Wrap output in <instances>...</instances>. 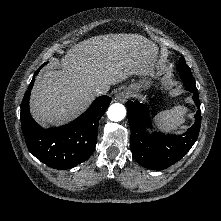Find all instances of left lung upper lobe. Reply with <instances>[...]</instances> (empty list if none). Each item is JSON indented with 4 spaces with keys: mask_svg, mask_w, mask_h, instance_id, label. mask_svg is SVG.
Listing matches in <instances>:
<instances>
[{
    "mask_svg": "<svg viewBox=\"0 0 221 221\" xmlns=\"http://www.w3.org/2000/svg\"><path fill=\"white\" fill-rule=\"evenodd\" d=\"M177 69H178L180 72L191 73V70H190V68L188 67V65L186 64L185 59H184L183 57L179 60V64H178V66H177Z\"/></svg>",
    "mask_w": 221,
    "mask_h": 221,
    "instance_id": "5c2ea615",
    "label": "left lung upper lobe"
}]
</instances>
